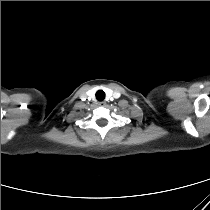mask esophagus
Masks as SVG:
<instances>
[{
    "label": "esophagus",
    "mask_w": 210,
    "mask_h": 210,
    "mask_svg": "<svg viewBox=\"0 0 210 210\" xmlns=\"http://www.w3.org/2000/svg\"><path fill=\"white\" fill-rule=\"evenodd\" d=\"M105 104L106 103L104 101L98 103L99 106H105Z\"/></svg>",
    "instance_id": "esophagus-1"
}]
</instances>
